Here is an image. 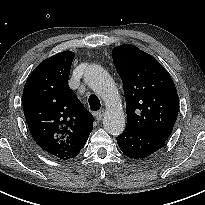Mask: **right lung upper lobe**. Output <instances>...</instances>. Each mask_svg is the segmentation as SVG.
<instances>
[{
    "mask_svg": "<svg viewBox=\"0 0 205 205\" xmlns=\"http://www.w3.org/2000/svg\"><path fill=\"white\" fill-rule=\"evenodd\" d=\"M75 54L64 51L42 61L23 90V110L36 143L62 160L76 157L93 129L94 118L68 86Z\"/></svg>",
    "mask_w": 205,
    "mask_h": 205,
    "instance_id": "cb5924a9",
    "label": "right lung upper lobe"
}]
</instances>
